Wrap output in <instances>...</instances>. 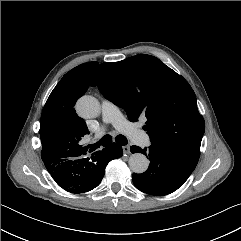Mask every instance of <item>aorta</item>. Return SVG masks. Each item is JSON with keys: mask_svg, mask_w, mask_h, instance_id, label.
<instances>
[{"mask_svg": "<svg viewBox=\"0 0 241 241\" xmlns=\"http://www.w3.org/2000/svg\"><path fill=\"white\" fill-rule=\"evenodd\" d=\"M77 113L83 118H95L101 112L100 103L98 100L90 95H84L76 103ZM129 167L132 172L141 174L144 173L148 166L149 160L144 154L135 153L129 158Z\"/></svg>", "mask_w": 241, "mask_h": 241, "instance_id": "1", "label": "aorta"}]
</instances>
